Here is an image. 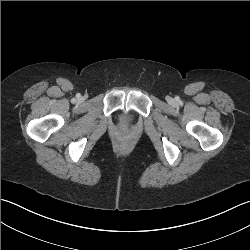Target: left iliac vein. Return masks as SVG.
<instances>
[{
	"mask_svg": "<svg viewBox=\"0 0 250 250\" xmlns=\"http://www.w3.org/2000/svg\"><path fill=\"white\" fill-rule=\"evenodd\" d=\"M169 101L172 102L173 100L170 98Z\"/></svg>",
	"mask_w": 250,
	"mask_h": 250,
	"instance_id": "left-iliac-vein-1",
	"label": "left iliac vein"
}]
</instances>
